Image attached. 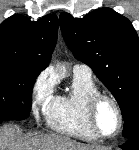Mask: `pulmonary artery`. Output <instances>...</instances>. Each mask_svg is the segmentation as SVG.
Returning a JSON list of instances; mask_svg holds the SVG:
<instances>
[{
  "label": "pulmonary artery",
  "instance_id": "pulmonary-artery-1",
  "mask_svg": "<svg viewBox=\"0 0 139 150\" xmlns=\"http://www.w3.org/2000/svg\"><path fill=\"white\" fill-rule=\"evenodd\" d=\"M73 74L78 76L91 77L92 71L87 65L76 64L73 67Z\"/></svg>",
  "mask_w": 139,
  "mask_h": 150
}]
</instances>
